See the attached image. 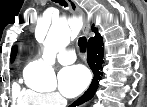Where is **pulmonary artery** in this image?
<instances>
[{"instance_id": "e3ab8cb5", "label": "pulmonary artery", "mask_w": 147, "mask_h": 107, "mask_svg": "<svg viewBox=\"0 0 147 107\" xmlns=\"http://www.w3.org/2000/svg\"><path fill=\"white\" fill-rule=\"evenodd\" d=\"M58 61L61 64H71L76 60V55L73 50H63L58 54Z\"/></svg>"}]
</instances>
